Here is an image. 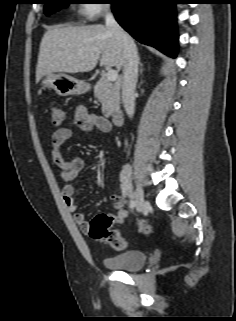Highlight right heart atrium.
<instances>
[{"label": "right heart atrium", "instance_id": "d8ad5b80", "mask_svg": "<svg viewBox=\"0 0 236 321\" xmlns=\"http://www.w3.org/2000/svg\"><path fill=\"white\" fill-rule=\"evenodd\" d=\"M109 9L110 6L107 3H102L99 0H85L80 8V13L86 20H95Z\"/></svg>", "mask_w": 236, "mask_h": 321}]
</instances>
